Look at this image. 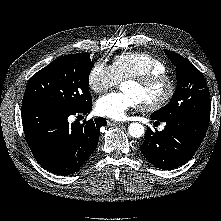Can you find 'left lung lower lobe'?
<instances>
[{"label": "left lung lower lobe", "instance_id": "obj_1", "mask_svg": "<svg viewBox=\"0 0 221 221\" xmlns=\"http://www.w3.org/2000/svg\"><path fill=\"white\" fill-rule=\"evenodd\" d=\"M151 118L155 123L165 122L166 126L161 132L148 128L140 151L150 163L164 170L183 165L195 154L209 124V117Z\"/></svg>", "mask_w": 221, "mask_h": 221}]
</instances>
